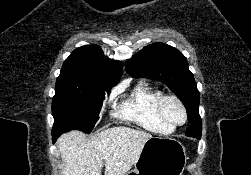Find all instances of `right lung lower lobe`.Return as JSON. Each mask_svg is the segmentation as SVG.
Listing matches in <instances>:
<instances>
[{
	"mask_svg": "<svg viewBox=\"0 0 251 175\" xmlns=\"http://www.w3.org/2000/svg\"><path fill=\"white\" fill-rule=\"evenodd\" d=\"M52 137H53V143H54L59 136L52 132Z\"/></svg>",
	"mask_w": 251,
	"mask_h": 175,
	"instance_id": "right-lung-lower-lobe-1",
	"label": "right lung lower lobe"
}]
</instances>
